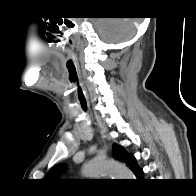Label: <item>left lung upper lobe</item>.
I'll return each mask as SVG.
<instances>
[{"instance_id":"5c2ea615","label":"left lung upper lobe","mask_w":196,"mask_h":196,"mask_svg":"<svg viewBox=\"0 0 196 196\" xmlns=\"http://www.w3.org/2000/svg\"><path fill=\"white\" fill-rule=\"evenodd\" d=\"M113 156L115 159H118L124 163L131 169L132 164L134 162V157L129 155L121 146L114 144L113 145ZM65 169V165L60 164L54 167L45 177L46 180H54L58 174L63 172Z\"/></svg>"}]
</instances>
